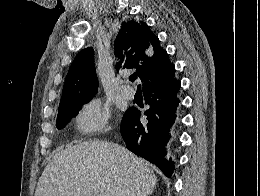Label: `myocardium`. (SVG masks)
<instances>
[{
    "mask_svg": "<svg viewBox=\"0 0 260 196\" xmlns=\"http://www.w3.org/2000/svg\"><path fill=\"white\" fill-rule=\"evenodd\" d=\"M50 192H54V190H50ZM88 192H97L96 190H88Z\"/></svg>",
    "mask_w": 260,
    "mask_h": 196,
    "instance_id": "myocardium-1",
    "label": "myocardium"
}]
</instances>
